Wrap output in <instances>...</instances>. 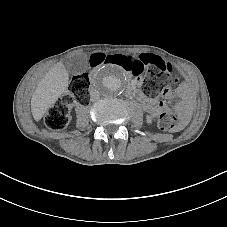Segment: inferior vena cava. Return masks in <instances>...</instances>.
Returning a JSON list of instances; mask_svg holds the SVG:
<instances>
[{
    "label": "inferior vena cava",
    "mask_w": 227,
    "mask_h": 227,
    "mask_svg": "<svg viewBox=\"0 0 227 227\" xmlns=\"http://www.w3.org/2000/svg\"><path fill=\"white\" fill-rule=\"evenodd\" d=\"M98 99H99V93H98V91L95 90V89H91L90 90V100L92 102H95Z\"/></svg>",
    "instance_id": "1"
}]
</instances>
